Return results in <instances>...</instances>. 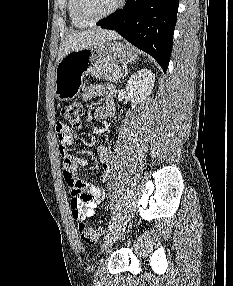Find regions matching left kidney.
<instances>
[{
	"mask_svg": "<svg viewBox=\"0 0 233 286\" xmlns=\"http://www.w3.org/2000/svg\"><path fill=\"white\" fill-rule=\"evenodd\" d=\"M154 82L155 74L149 69H141L129 78L126 84V92L128 99L133 104L132 108L152 93Z\"/></svg>",
	"mask_w": 233,
	"mask_h": 286,
	"instance_id": "1",
	"label": "left kidney"
}]
</instances>
